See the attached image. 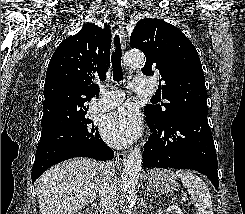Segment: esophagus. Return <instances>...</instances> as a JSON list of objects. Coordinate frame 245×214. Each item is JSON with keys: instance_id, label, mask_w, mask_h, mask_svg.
Returning a JSON list of instances; mask_svg holds the SVG:
<instances>
[{"instance_id": "34e87169", "label": "esophagus", "mask_w": 245, "mask_h": 214, "mask_svg": "<svg viewBox=\"0 0 245 214\" xmlns=\"http://www.w3.org/2000/svg\"><path fill=\"white\" fill-rule=\"evenodd\" d=\"M114 11H115V15H116V18L118 20V23H119L122 49L125 50L126 49V26H125L124 11L119 6H116ZM126 156H127L126 152H117L116 160L118 162H122L125 160Z\"/></svg>"}]
</instances>
